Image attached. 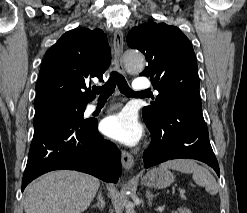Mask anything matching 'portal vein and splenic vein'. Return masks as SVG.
<instances>
[{
	"label": "portal vein and splenic vein",
	"instance_id": "1",
	"mask_svg": "<svg viewBox=\"0 0 247 213\" xmlns=\"http://www.w3.org/2000/svg\"><path fill=\"white\" fill-rule=\"evenodd\" d=\"M184 193H185V189H180V195H184Z\"/></svg>",
	"mask_w": 247,
	"mask_h": 213
}]
</instances>
